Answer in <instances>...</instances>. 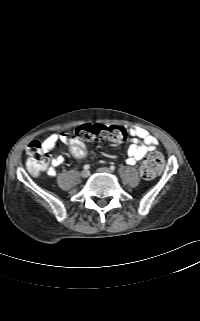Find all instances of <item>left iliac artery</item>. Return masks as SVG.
I'll use <instances>...</instances> for the list:
<instances>
[{
  "label": "left iliac artery",
  "mask_w": 200,
  "mask_h": 321,
  "mask_svg": "<svg viewBox=\"0 0 200 321\" xmlns=\"http://www.w3.org/2000/svg\"><path fill=\"white\" fill-rule=\"evenodd\" d=\"M110 169H111L112 171H114V170H115V166H110Z\"/></svg>",
  "instance_id": "left-iliac-artery-1"
}]
</instances>
